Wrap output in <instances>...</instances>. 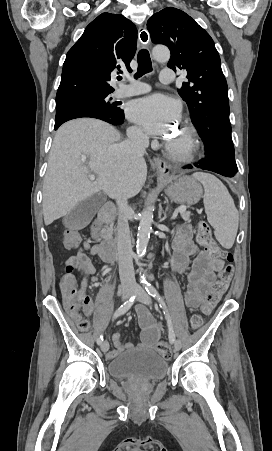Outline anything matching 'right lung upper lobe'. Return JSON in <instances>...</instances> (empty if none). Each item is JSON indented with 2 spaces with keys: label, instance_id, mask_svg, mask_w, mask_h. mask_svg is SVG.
<instances>
[{
  "label": "right lung upper lobe",
  "instance_id": "right-lung-upper-lobe-1",
  "mask_svg": "<svg viewBox=\"0 0 272 451\" xmlns=\"http://www.w3.org/2000/svg\"><path fill=\"white\" fill-rule=\"evenodd\" d=\"M137 29L123 15L102 13L68 51L56 99L110 94L111 72L130 69Z\"/></svg>",
  "mask_w": 272,
  "mask_h": 451
}]
</instances>
